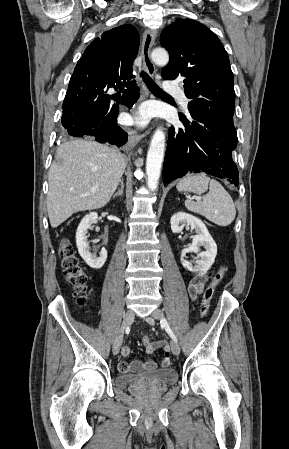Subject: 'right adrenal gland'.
Listing matches in <instances>:
<instances>
[{
	"instance_id": "1",
	"label": "right adrenal gland",
	"mask_w": 289,
	"mask_h": 449,
	"mask_svg": "<svg viewBox=\"0 0 289 449\" xmlns=\"http://www.w3.org/2000/svg\"><path fill=\"white\" fill-rule=\"evenodd\" d=\"M120 188L117 190V192L115 194H113V198L117 197V196H122L124 193V182L123 180H120L119 182Z\"/></svg>"
}]
</instances>
